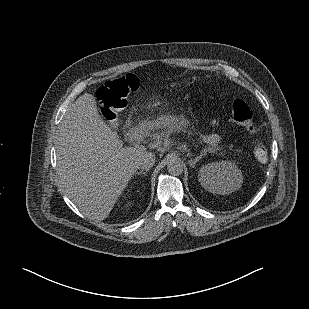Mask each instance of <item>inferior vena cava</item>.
Wrapping results in <instances>:
<instances>
[{
  "instance_id": "inferior-vena-cava-1",
  "label": "inferior vena cava",
  "mask_w": 309,
  "mask_h": 309,
  "mask_svg": "<svg viewBox=\"0 0 309 309\" xmlns=\"http://www.w3.org/2000/svg\"><path fill=\"white\" fill-rule=\"evenodd\" d=\"M155 163V158L154 157H146L141 162L139 163V168L142 170H149L150 168L153 167Z\"/></svg>"
}]
</instances>
